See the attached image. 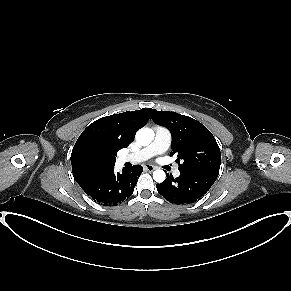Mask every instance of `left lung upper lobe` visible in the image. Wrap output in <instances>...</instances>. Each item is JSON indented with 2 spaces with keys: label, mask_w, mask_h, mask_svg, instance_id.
<instances>
[{
  "label": "left lung upper lobe",
  "mask_w": 291,
  "mask_h": 291,
  "mask_svg": "<svg viewBox=\"0 0 291 291\" xmlns=\"http://www.w3.org/2000/svg\"><path fill=\"white\" fill-rule=\"evenodd\" d=\"M151 119L169 129L172 135L170 156L177 154L179 170H204L219 173L221 154L212 133L199 121L170 111L153 109Z\"/></svg>",
  "instance_id": "5c2ea615"
}]
</instances>
